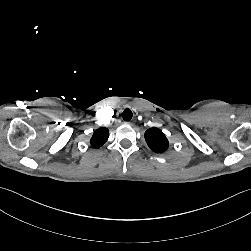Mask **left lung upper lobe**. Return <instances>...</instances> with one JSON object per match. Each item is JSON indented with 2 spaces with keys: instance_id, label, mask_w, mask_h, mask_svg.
Returning a JSON list of instances; mask_svg holds the SVG:
<instances>
[{
  "instance_id": "5c2ea615",
  "label": "left lung upper lobe",
  "mask_w": 251,
  "mask_h": 251,
  "mask_svg": "<svg viewBox=\"0 0 251 251\" xmlns=\"http://www.w3.org/2000/svg\"><path fill=\"white\" fill-rule=\"evenodd\" d=\"M145 140L151 150L162 153L167 150L169 142L164 133L158 128H150L145 132Z\"/></svg>"
}]
</instances>
